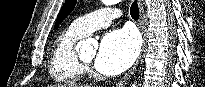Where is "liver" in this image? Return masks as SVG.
<instances>
[{
	"instance_id": "1",
	"label": "liver",
	"mask_w": 205,
	"mask_h": 87,
	"mask_svg": "<svg viewBox=\"0 0 205 87\" xmlns=\"http://www.w3.org/2000/svg\"><path fill=\"white\" fill-rule=\"evenodd\" d=\"M53 87H88L86 85H83V84H74V83H67V84H58V85H55Z\"/></svg>"
}]
</instances>
